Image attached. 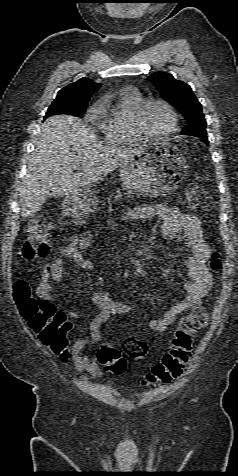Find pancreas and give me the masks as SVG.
I'll return each instance as SVG.
<instances>
[{"mask_svg":"<svg viewBox=\"0 0 238 476\" xmlns=\"http://www.w3.org/2000/svg\"><path fill=\"white\" fill-rule=\"evenodd\" d=\"M122 196H123V194H122L121 192H118V194H117L116 196H114V195L109 196V197H108V204H109V205H112V202H113L114 200H116V199H118V198H120V197H122Z\"/></svg>","mask_w":238,"mask_h":476,"instance_id":"obj_1","label":"pancreas"}]
</instances>
